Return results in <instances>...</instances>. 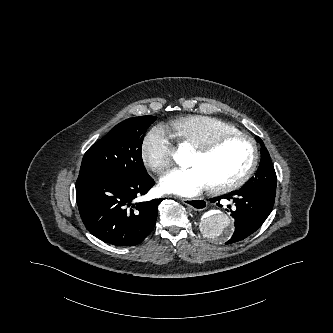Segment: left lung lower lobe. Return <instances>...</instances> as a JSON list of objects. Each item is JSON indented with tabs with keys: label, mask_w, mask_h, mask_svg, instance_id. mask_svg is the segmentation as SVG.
<instances>
[{
	"label": "left lung lower lobe",
	"mask_w": 333,
	"mask_h": 333,
	"mask_svg": "<svg viewBox=\"0 0 333 333\" xmlns=\"http://www.w3.org/2000/svg\"><path fill=\"white\" fill-rule=\"evenodd\" d=\"M275 194L265 190L241 188L238 191L215 199L218 201V206H222L219 203L221 199L233 201L236 206V210H231L235 221V231L226 244L245 239L263 224L272 211Z\"/></svg>",
	"instance_id": "obj_1"
}]
</instances>
